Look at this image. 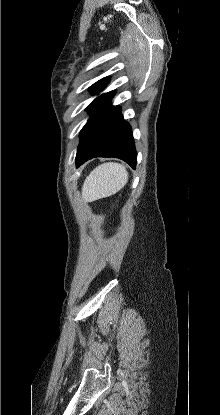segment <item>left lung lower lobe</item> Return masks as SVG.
Here are the masks:
<instances>
[{
  "mask_svg": "<svg viewBox=\"0 0 220 415\" xmlns=\"http://www.w3.org/2000/svg\"><path fill=\"white\" fill-rule=\"evenodd\" d=\"M114 94H102L90 106L91 116L80 132L77 167L95 157H115L135 169L137 152L131 126L124 121L121 108L109 103Z\"/></svg>",
  "mask_w": 220,
  "mask_h": 415,
  "instance_id": "0a47b994",
  "label": "left lung lower lobe"
}]
</instances>
